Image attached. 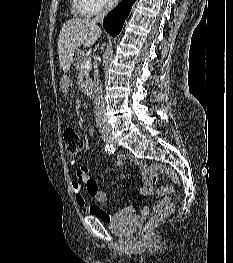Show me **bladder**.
<instances>
[{
	"label": "bladder",
	"mask_w": 233,
	"mask_h": 263,
	"mask_svg": "<svg viewBox=\"0 0 233 263\" xmlns=\"http://www.w3.org/2000/svg\"><path fill=\"white\" fill-rule=\"evenodd\" d=\"M139 217L132 213H124L116 220L108 223L109 231L118 237H130L135 232Z\"/></svg>",
	"instance_id": "31cf9c89"
}]
</instances>
